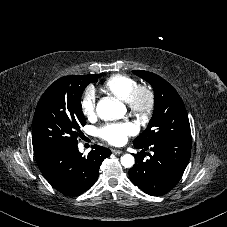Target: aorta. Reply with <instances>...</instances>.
<instances>
[{"label": "aorta", "instance_id": "aorta-1", "mask_svg": "<svg viewBox=\"0 0 227 227\" xmlns=\"http://www.w3.org/2000/svg\"><path fill=\"white\" fill-rule=\"evenodd\" d=\"M96 111L101 119L111 120L122 118L126 113V108L118 100L105 97L98 102ZM134 162V157L131 154H125L121 157V164L125 168H131Z\"/></svg>", "mask_w": 227, "mask_h": 227}]
</instances>
